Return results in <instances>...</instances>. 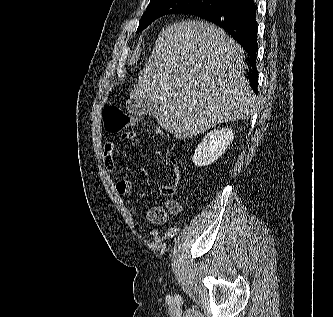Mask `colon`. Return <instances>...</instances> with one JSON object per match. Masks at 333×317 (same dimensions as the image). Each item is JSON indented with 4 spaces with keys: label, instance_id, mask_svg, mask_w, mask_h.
Returning <instances> with one entry per match:
<instances>
[{
    "label": "colon",
    "instance_id": "colon-1",
    "mask_svg": "<svg viewBox=\"0 0 333 317\" xmlns=\"http://www.w3.org/2000/svg\"><path fill=\"white\" fill-rule=\"evenodd\" d=\"M105 130L111 134H120L136 124L137 119L117 106H108L103 111Z\"/></svg>",
    "mask_w": 333,
    "mask_h": 317
}]
</instances>
